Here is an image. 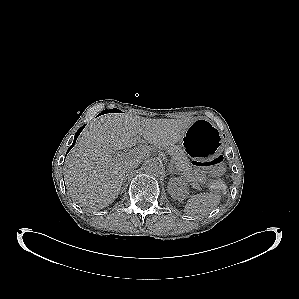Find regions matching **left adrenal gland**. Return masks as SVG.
Wrapping results in <instances>:
<instances>
[{
  "mask_svg": "<svg viewBox=\"0 0 299 299\" xmlns=\"http://www.w3.org/2000/svg\"><path fill=\"white\" fill-rule=\"evenodd\" d=\"M169 174H176L171 165H169Z\"/></svg>",
  "mask_w": 299,
  "mask_h": 299,
  "instance_id": "obj_1",
  "label": "left adrenal gland"
}]
</instances>
